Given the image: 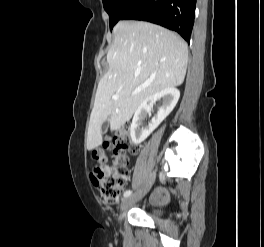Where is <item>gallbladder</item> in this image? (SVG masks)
I'll return each instance as SVG.
<instances>
[{
  "label": "gallbladder",
  "instance_id": "1",
  "mask_svg": "<svg viewBox=\"0 0 264 247\" xmlns=\"http://www.w3.org/2000/svg\"><path fill=\"white\" fill-rule=\"evenodd\" d=\"M110 123V121H108V120H105V121H103V124H102V126H101V131H100V133H106L105 131H106V127H108V124Z\"/></svg>",
  "mask_w": 264,
  "mask_h": 247
}]
</instances>
